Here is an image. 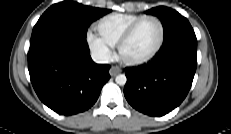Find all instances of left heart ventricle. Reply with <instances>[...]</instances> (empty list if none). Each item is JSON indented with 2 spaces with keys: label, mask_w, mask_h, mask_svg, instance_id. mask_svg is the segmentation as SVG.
Masks as SVG:
<instances>
[{
  "label": "left heart ventricle",
  "mask_w": 231,
  "mask_h": 134,
  "mask_svg": "<svg viewBox=\"0 0 231 134\" xmlns=\"http://www.w3.org/2000/svg\"><path fill=\"white\" fill-rule=\"evenodd\" d=\"M159 38V25L153 20H147L138 27L133 37L124 46L122 55L131 60L146 57L155 49Z\"/></svg>",
  "instance_id": "left-heart-ventricle-1"
}]
</instances>
